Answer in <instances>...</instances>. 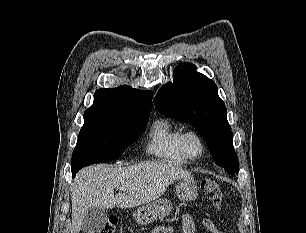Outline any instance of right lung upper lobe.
Wrapping results in <instances>:
<instances>
[{
	"label": "right lung upper lobe",
	"mask_w": 306,
	"mask_h": 233,
	"mask_svg": "<svg viewBox=\"0 0 306 233\" xmlns=\"http://www.w3.org/2000/svg\"><path fill=\"white\" fill-rule=\"evenodd\" d=\"M152 92L133 89L123 85L113 89H98L94 103L86 111H109L122 114H150Z\"/></svg>",
	"instance_id": "obj_1"
}]
</instances>
